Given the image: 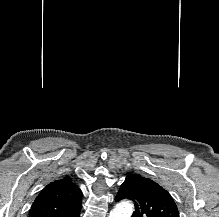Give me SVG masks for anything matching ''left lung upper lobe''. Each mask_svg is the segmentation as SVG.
Returning a JSON list of instances; mask_svg holds the SVG:
<instances>
[{
    "instance_id": "1",
    "label": "left lung upper lobe",
    "mask_w": 219,
    "mask_h": 217,
    "mask_svg": "<svg viewBox=\"0 0 219 217\" xmlns=\"http://www.w3.org/2000/svg\"><path fill=\"white\" fill-rule=\"evenodd\" d=\"M125 198L135 204L132 217H179L177 206L168 191L139 174L126 177L115 200L118 202Z\"/></svg>"
}]
</instances>
